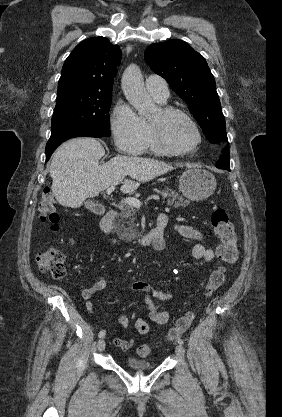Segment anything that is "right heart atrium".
<instances>
[{
    "instance_id": "right-heart-atrium-1",
    "label": "right heart atrium",
    "mask_w": 282,
    "mask_h": 417,
    "mask_svg": "<svg viewBox=\"0 0 282 417\" xmlns=\"http://www.w3.org/2000/svg\"><path fill=\"white\" fill-rule=\"evenodd\" d=\"M116 147L123 153L137 155L147 146V123L127 104L118 102L111 117Z\"/></svg>"
}]
</instances>
